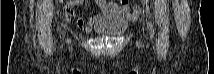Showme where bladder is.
<instances>
[{
	"label": "bladder",
	"instance_id": "bladder-1",
	"mask_svg": "<svg viewBox=\"0 0 214 74\" xmlns=\"http://www.w3.org/2000/svg\"><path fill=\"white\" fill-rule=\"evenodd\" d=\"M127 28V21L116 10L100 16V20L94 26V32L99 35L117 36Z\"/></svg>",
	"mask_w": 214,
	"mask_h": 74
}]
</instances>
